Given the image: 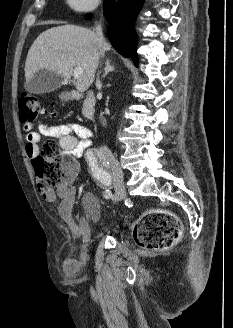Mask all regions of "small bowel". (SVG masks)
<instances>
[{"instance_id":"1","label":"small bowel","mask_w":233,"mask_h":328,"mask_svg":"<svg viewBox=\"0 0 233 328\" xmlns=\"http://www.w3.org/2000/svg\"><path fill=\"white\" fill-rule=\"evenodd\" d=\"M23 129L27 132L25 151L30 158L36 155L38 143L42 136L56 138L63 154L75 158L86 154L92 144L91 131L79 123L68 122L55 126L43 124L39 127V132L32 131L31 124H24ZM74 174L55 190L46 187L44 184H38V192L45 201L49 203L60 201L59 213L66 222L73 221L72 211L76 200V190L72 185ZM82 225L80 221V226ZM63 264L67 274L75 278L77 274L71 260L66 258Z\"/></svg>"}]
</instances>
